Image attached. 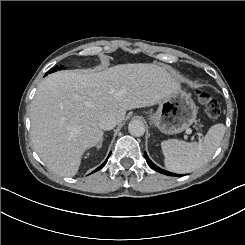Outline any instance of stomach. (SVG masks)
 Segmentation results:
<instances>
[{
	"instance_id": "stomach-1",
	"label": "stomach",
	"mask_w": 245,
	"mask_h": 245,
	"mask_svg": "<svg viewBox=\"0 0 245 245\" xmlns=\"http://www.w3.org/2000/svg\"><path fill=\"white\" fill-rule=\"evenodd\" d=\"M196 115L197 106L191 94L180 87L162 99L152 121L162 132L173 134L192 125Z\"/></svg>"
}]
</instances>
